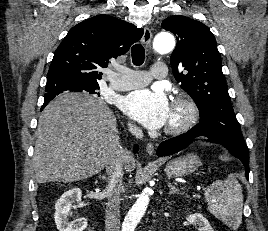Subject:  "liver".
<instances>
[{"label": "liver", "instance_id": "1", "mask_svg": "<svg viewBox=\"0 0 268 231\" xmlns=\"http://www.w3.org/2000/svg\"><path fill=\"white\" fill-rule=\"evenodd\" d=\"M33 155L35 180L76 182L99 173L122 150L111 109L87 93H63L39 117ZM128 172L134 160L125 161Z\"/></svg>", "mask_w": 268, "mask_h": 231}]
</instances>
